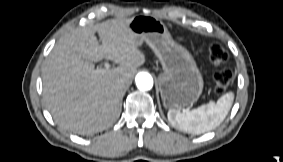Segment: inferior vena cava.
Masks as SVG:
<instances>
[{
	"label": "inferior vena cava",
	"instance_id": "1",
	"mask_svg": "<svg viewBox=\"0 0 283 162\" xmlns=\"http://www.w3.org/2000/svg\"><path fill=\"white\" fill-rule=\"evenodd\" d=\"M117 84H118L120 87H123V88L126 86L125 80L122 79V78L117 81Z\"/></svg>",
	"mask_w": 283,
	"mask_h": 162
}]
</instances>
